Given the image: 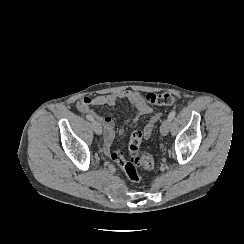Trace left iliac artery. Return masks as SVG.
Here are the masks:
<instances>
[{"label":"left iliac artery","mask_w":244,"mask_h":244,"mask_svg":"<svg viewBox=\"0 0 244 244\" xmlns=\"http://www.w3.org/2000/svg\"><path fill=\"white\" fill-rule=\"evenodd\" d=\"M175 115H176V111H171L170 113H169V115H168V119L170 120V121H172L173 120V118L175 117Z\"/></svg>","instance_id":"left-iliac-artery-1"}]
</instances>
